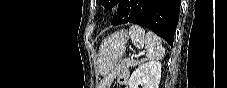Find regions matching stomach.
I'll return each instance as SVG.
<instances>
[{"mask_svg":"<svg viewBox=\"0 0 227 88\" xmlns=\"http://www.w3.org/2000/svg\"><path fill=\"white\" fill-rule=\"evenodd\" d=\"M128 40V32L126 30H120L103 41L97 59L98 73L106 75L114 68L125 53Z\"/></svg>","mask_w":227,"mask_h":88,"instance_id":"0dacf381","label":"stomach"}]
</instances>
